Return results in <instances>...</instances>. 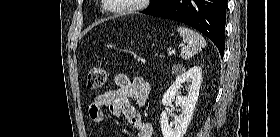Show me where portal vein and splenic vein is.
<instances>
[{"label":"portal vein and splenic vein","instance_id":"portal-vein-and-splenic-vein-1","mask_svg":"<svg viewBox=\"0 0 280 137\" xmlns=\"http://www.w3.org/2000/svg\"><path fill=\"white\" fill-rule=\"evenodd\" d=\"M175 52V50H173V51H168V56H171L173 53Z\"/></svg>","mask_w":280,"mask_h":137}]
</instances>
